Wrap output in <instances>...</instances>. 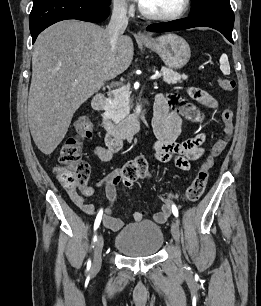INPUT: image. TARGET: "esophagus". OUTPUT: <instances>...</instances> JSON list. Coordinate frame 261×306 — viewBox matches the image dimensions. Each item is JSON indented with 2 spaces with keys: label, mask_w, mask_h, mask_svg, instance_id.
Returning <instances> with one entry per match:
<instances>
[{
  "label": "esophagus",
  "mask_w": 261,
  "mask_h": 306,
  "mask_svg": "<svg viewBox=\"0 0 261 306\" xmlns=\"http://www.w3.org/2000/svg\"><path fill=\"white\" fill-rule=\"evenodd\" d=\"M136 37L140 40H148L149 39V36L142 31H138L137 34H136Z\"/></svg>",
  "instance_id": "obj_1"
}]
</instances>
